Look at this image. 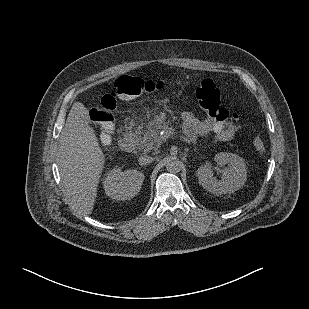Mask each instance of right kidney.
<instances>
[{
	"label": "right kidney",
	"instance_id": "right-kidney-1",
	"mask_svg": "<svg viewBox=\"0 0 309 309\" xmlns=\"http://www.w3.org/2000/svg\"><path fill=\"white\" fill-rule=\"evenodd\" d=\"M144 181V174L136 169L122 171L114 167L103 179V188L107 196L115 200H128L137 195Z\"/></svg>",
	"mask_w": 309,
	"mask_h": 309
}]
</instances>
